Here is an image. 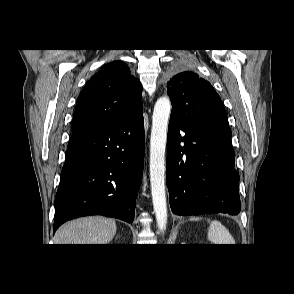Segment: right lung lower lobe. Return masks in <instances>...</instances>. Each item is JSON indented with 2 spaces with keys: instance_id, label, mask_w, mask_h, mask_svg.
Returning <instances> with one entry per match:
<instances>
[{
  "instance_id": "right-lung-lower-lobe-1",
  "label": "right lung lower lobe",
  "mask_w": 294,
  "mask_h": 294,
  "mask_svg": "<svg viewBox=\"0 0 294 294\" xmlns=\"http://www.w3.org/2000/svg\"><path fill=\"white\" fill-rule=\"evenodd\" d=\"M144 140L142 106L111 124L73 133L55 197L54 231L88 215L133 222Z\"/></svg>"
}]
</instances>
